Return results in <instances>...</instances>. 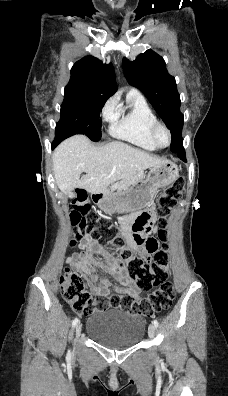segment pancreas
Here are the masks:
<instances>
[{
  "label": "pancreas",
  "instance_id": "obj_1",
  "mask_svg": "<svg viewBox=\"0 0 228 396\" xmlns=\"http://www.w3.org/2000/svg\"><path fill=\"white\" fill-rule=\"evenodd\" d=\"M143 178H144V176L141 173L135 174V175H133L131 177H128V178H123L120 181L114 183L111 186V190H115V189H118L119 191L127 190L131 186H133V185L137 184L138 182H140Z\"/></svg>",
  "mask_w": 228,
  "mask_h": 396
}]
</instances>
